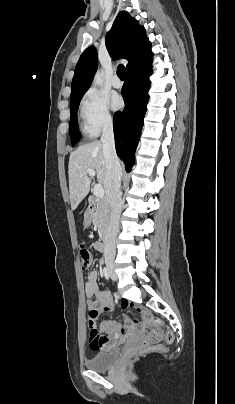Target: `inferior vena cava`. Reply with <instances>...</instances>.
Here are the masks:
<instances>
[{
	"instance_id": "1",
	"label": "inferior vena cava",
	"mask_w": 235,
	"mask_h": 404,
	"mask_svg": "<svg viewBox=\"0 0 235 404\" xmlns=\"http://www.w3.org/2000/svg\"><path fill=\"white\" fill-rule=\"evenodd\" d=\"M103 154L107 168L106 199L110 207V221L104 238V251L106 255H115V240L119 227L122 210L120 186L122 169L115 150L113 123L111 119L105 121L101 136Z\"/></svg>"
}]
</instances>
